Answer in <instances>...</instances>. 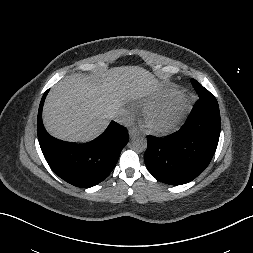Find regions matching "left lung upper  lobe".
<instances>
[{
  "mask_svg": "<svg viewBox=\"0 0 253 253\" xmlns=\"http://www.w3.org/2000/svg\"><path fill=\"white\" fill-rule=\"evenodd\" d=\"M192 80H194V79H192ZM205 94L207 95L208 99L216 100V98L209 91H207L206 89H205Z\"/></svg>",
  "mask_w": 253,
  "mask_h": 253,
  "instance_id": "5c2ea615",
  "label": "left lung upper lobe"
}]
</instances>
